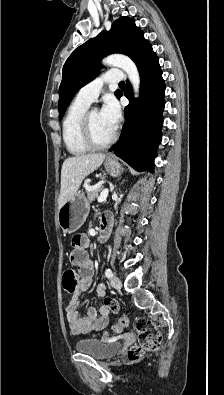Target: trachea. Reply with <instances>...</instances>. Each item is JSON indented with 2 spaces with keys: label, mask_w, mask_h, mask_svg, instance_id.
Wrapping results in <instances>:
<instances>
[{
  "label": "trachea",
  "mask_w": 224,
  "mask_h": 395,
  "mask_svg": "<svg viewBox=\"0 0 224 395\" xmlns=\"http://www.w3.org/2000/svg\"><path fill=\"white\" fill-rule=\"evenodd\" d=\"M119 85L123 86V85H125V83L122 81V82L119 83Z\"/></svg>",
  "instance_id": "obj_1"
}]
</instances>
